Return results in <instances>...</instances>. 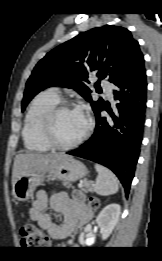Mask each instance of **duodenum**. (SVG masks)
Returning <instances> with one entry per match:
<instances>
[{"label":"duodenum","instance_id":"1","mask_svg":"<svg viewBox=\"0 0 162 261\" xmlns=\"http://www.w3.org/2000/svg\"><path fill=\"white\" fill-rule=\"evenodd\" d=\"M63 232H67L65 228H63Z\"/></svg>","mask_w":162,"mask_h":261}]
</instances>
